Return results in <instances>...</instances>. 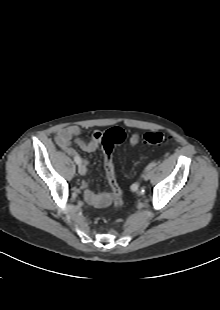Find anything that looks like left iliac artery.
<instances>
[{
    "instance_id": "obj_1",
    "label": "left iliac artery",
    "mask_w": 220,
    "mask_h": 310,
    "mask_svg": "<svg viewBox=\"0 0 220 310\" xmlns=\"http://www.w3.org/2000/svg\"><path fill=\"white\" fill-rule=\"evenodd\" d=\"M155 165H156L155 162L150 163V164L145 168L144 173L149 172ZM139 185H140V182H135V183H133V184L131 185V190H132L133 192L137 191L138 188H139Z\"/></svg>"
}]
</instances>
